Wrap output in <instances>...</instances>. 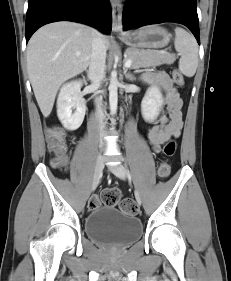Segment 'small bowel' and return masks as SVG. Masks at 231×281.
Segmentation results:
<instances>
[{"mask_svg": "<svg viewBox=\"0 0 231 281\" xmlns=\"http://www.w3.org/2000/svg\"><path fill=\"white\" fill-rule=\"evenodd\" d=\"M140 80L148 87H157L162 92V101L167 105L168 116L161 115L159 123H152L148 128V141L155 153L161 145L172 137H178L183 128V100L173 86L170 77L164 72H145Z\"/></svg>", "mask_w": 231, "mask_h": 281, "instance_id": "obj_1", "label": "small bowel"}]
</instances>
